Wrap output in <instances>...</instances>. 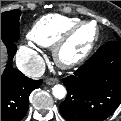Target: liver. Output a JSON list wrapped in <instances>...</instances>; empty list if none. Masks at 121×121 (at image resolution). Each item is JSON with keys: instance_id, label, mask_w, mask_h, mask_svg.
<instances>
[{"instance_id": "1", "label": "liver", "mask_w": 121, "mask_h": 121, "mask_svg": "<svg viewBox=\"0 0 121 121\" xmlns=\"http://www.w3.org/2000/svg\"><path fill=\"white\" fill-rule=\"evenodd\" d=\"M6 58V49L3 43L1 42V73L3 71L4 63Z\"/></svg>"}]
</instances>
